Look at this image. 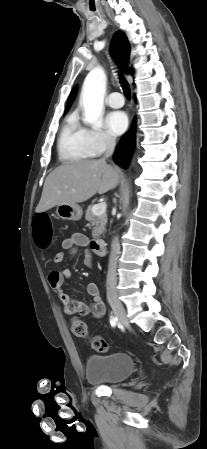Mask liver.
<instances>
[{
	"instance_id": "liver-1",
	"label": "liver",
	"mask_w": 207,
	"mask_h": 449,
	"mask_svg": "<svg viewBox=\"0 0 207 449\" xmlns=\"http://www.w3.org/2000/svg\"><path fill=\"white\" fill-rule=\"evenodd\" d=\"M119 170L105 160H79L54 169L46 178L36 212H45L60 204L87 201L97 192L116 188Z\"/></svg>"
}]
</instances>
